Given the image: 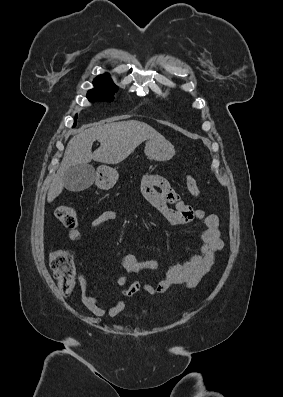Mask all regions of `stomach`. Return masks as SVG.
Instances as JSON below:
<instances>
[{"label":"stomach","instance_id":"0dacf381","mask_svg":"<svg viewBox=\"0 0 283 397\" xmlns=\"http://www.w3.org/2000/svg\"><path fill=\"white\" fill-rule=\"evenodd\" d=\"M146 156L151 160L167 161L170 160L174 154V146L166 139H150L144 150ZM118 179V172L116 169L102 165L97 168L95 172V182L98 188L108 190L112 188Z\"/></svg>","mask_w":283,"mask_h":397}]
</instances>
